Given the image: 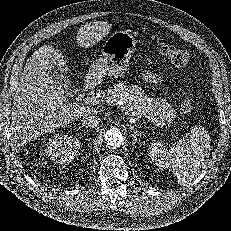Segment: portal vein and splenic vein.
Here are the masks:
<instances>
[{
	"label": "portal vein and splenic vein",
	"instance_id": "1",
	"mask_svg": "<svg viewBox=\"0 0 231 231\" xmlns=\"http://www.w3.org/2000/svg\"><path fill=\"white\" fill-rule=\"evenodd\" d=\"M101 98L100 96L97 94V95H92V96H87L85 98V103L87 104H91V105H94V104H97V103H101ZM151 122H153L155 125L157 126H161L163 127V124L156 118L154 117H147ZM131 122H135V119L133 118Z\"/></svg>",
	"mask_w": 231,
	"mask_h": 231
}]
</instances>
